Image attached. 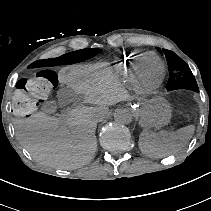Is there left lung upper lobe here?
Returning <instances> with one entry per match:
<instances>
[{
	"instance_id": "1",
	"label": "left lung upper lobe",
	"mask_w": 211,
	"mask_h": 211,
	"mask_svg": "<svg viewBox=\"0 0 211 211\" xmlns=\"http://www.w3.org/2000/svg\"><path fill=\"white\" fill-rule=\"evenodd\" d=\"M168 63L170 77L167 90L189 89L199 92L196 80L189 66L174 52L163 49Z\"/></svg>"
}]
</instances>
